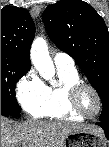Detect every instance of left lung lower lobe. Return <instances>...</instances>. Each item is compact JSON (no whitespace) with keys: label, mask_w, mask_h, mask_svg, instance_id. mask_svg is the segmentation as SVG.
<instances>
[{"label":"left lung lower lobe","mask_w":109,"mask_h":147,"mask_svg":"<svg viewBox=\"0 0 109 147\" xmlns=\"http://www.w3.org/2000/svg\"><path fill=\"white\" fill-rule=\"evenodd\" d=\"M96 124L103 128L106 137L109 138V122L99 121Z\"/></svg>","instance_id":"1"}]
</instances>
